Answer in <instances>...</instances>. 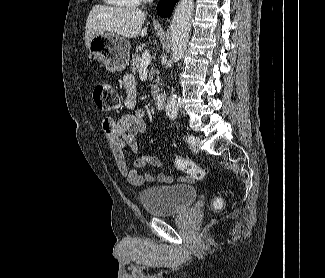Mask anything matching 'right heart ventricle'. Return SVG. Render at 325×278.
<instances>
[{"label":"right heart ventricle","instance_id":"1","mask_svg":"<svg viewBox=\"0 0 325 278\" xmlns=\"http://www.w3.org/2000/svg\"><path fill=\"white\" fill-rule=\"evenodd\" d=\"M106 3L117 6V7H122V8H134L137 7L141 0H104Z\"/></svg>","mask_w":325,"mask_h":278}]
</instances>
